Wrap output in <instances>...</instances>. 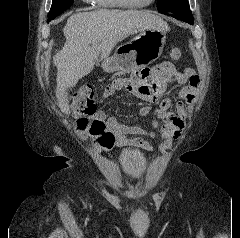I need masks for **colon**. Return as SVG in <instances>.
I'll use <instances>...</instances> for the list:
<instances>
[{"mask_svg":"<svg viewBox=\"0 0 240 238\" xmlns=\"http://www.w3.org/2000/svg\"><path fill=\"white\" fill-rule=\"evenodd\" d=\"M181 49L173 47L169 55L173 60L181 57ZM94 90L91 85H83L72 97L71 112L76 119L77 129L94 138L95 142L102 147L110 146L113 143V136L107 131L103 120L95 119Z\"/></svg>","mask_w":240,"mask_h":238,"instance_id":"colon-1","label":"colon"}]
</instances>
